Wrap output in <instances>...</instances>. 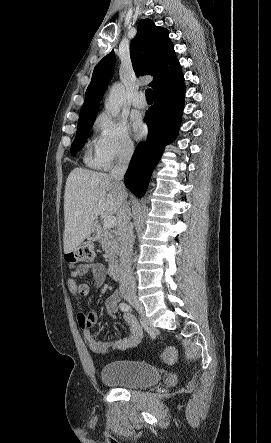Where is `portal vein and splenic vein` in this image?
Returning <instances> with one entry per match:
<instances>
[{
  "mask_svg": "<svg viewBox=\"0 0 271 443\" xmlns=\"http://www.w3.org/2000/svg\"><path fill=\"white\" fill-rule=\"evenodd\" d=\"M114 225H116V218L114 216L104 218V227H114Z\"/></svg>",
  "mask_w": 271,
  "mask_h": 443,
  "instance_id": "portal-vein-and-splenic-vein-1",
  "label": "portal vein and splenic vein"
}]
</instances>
